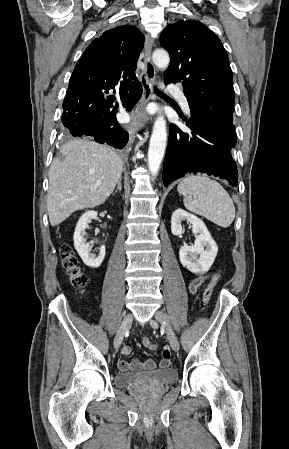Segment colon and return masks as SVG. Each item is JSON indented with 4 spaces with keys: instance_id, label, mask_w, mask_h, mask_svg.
<instances>
[{
    "instance_id": "colon-1",
    "label": "colon",
    "mask_w": 289,
    "mask_h": 449,
    "mask_svg": "<svg viewBox=\"0 0 289 449\" xmlns=\"http://www.w3.org/2000/svg\"><path fill=\"white\" fill-rule=\"evenodd\" d=\"M60 256L62 267L71 284L78 290H82L83 288H85L88 279L86 274L80 267L79 260L72 248L69 245H63L60 249ZM221 278L222 272L216 273L205 288L202 296V306L204 308H206L209 304L213 290L218 285ZM150 342L151 341L147 337L143 338L142 340L144 346L149 345Z\"/></svg>"
}]
</instances>
